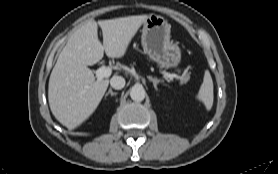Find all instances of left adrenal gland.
I'll list each match as a JSON object with an SVG mask.
<instances>
[{
  "label": "left adrenal gland",
  "mask_w": 278,
  "mask_h": 174,
  "mask_svg": "<svg viewBox=\"0 0 278 174\" xmlns=\"http://www.w3.org/2000/svg\"><path fill=\"white\" fill-rule=\"evenodd\" d=\"M151 82H153V85H154V88L157 90V85L160 83V82H163L162 80L160 79H157V78H153L152 76H148L147 77Z\"/></svg>",
  "instance_id": "1"
}]
</instances>
